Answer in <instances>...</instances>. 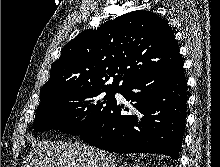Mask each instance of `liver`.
<instances>
[{
  "label": "liver",
  "instance_id": "1",
  "mask_svg": "<svg viewBox=\"0 0 220 167\" xmlns=\"http://www.w3.org/2000/svg\"><path fill=\"white\" fill-rule=\"evenodd\" d=\"M116 157L80 143L43 141L21 167H116Z\"/></svg>",
  "mask_w": 220,
  "mask_h": 167
}]
</instances>
